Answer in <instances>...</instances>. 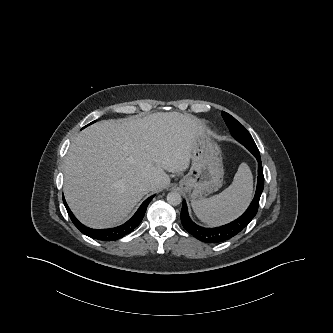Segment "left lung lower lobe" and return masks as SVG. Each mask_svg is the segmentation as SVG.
<instances>
[{
	"mask_svg": "<svg viewBox=\"0 0 333 333\" xmlns=\"http://www.w3.org/2000/svg\"><path fill=\"white\" fill-rule=\"evenodd\" d=\"M258 161V179L254 199L248 209L238 219L216 228H203L196 225L189 217L186 202L183 201L181 222L183 227L198 240L205 243H220L228 240L242 231L254 218L258 211L260 196L264 187V175L258 149H248Z\"/></svg>",
	"mask_w": 333,
	"mask_h": 333,
	"instance_id": "1",
	"label": "left lung lower lobe"
}]
</instances>
